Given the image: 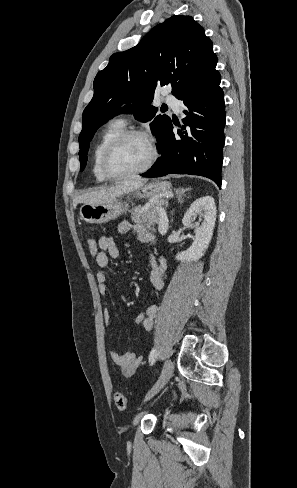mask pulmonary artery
<instances>
[{
  "mask_svg": "<svg viewBox=\"0 0 297 488\" xmlns=\"http://www.w3.org/2000/svg\"><path fill=\"white\" fill-rule=\"evenodd\" d=\"M165 101L176 111L179 112L182 107L181 101H179L175 96L173 95H167L165 98ZM123 122H125L124 118H121Z\"/></svg>",
  "mask_w": 297,
  "mask_h": 488,
  "instance_id": "1",
  "label": "pulmonary artery"
}]
</instances>
